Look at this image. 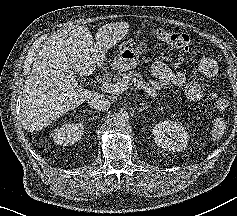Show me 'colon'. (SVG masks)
Wrapping results in <instances>:
<instances>
[{
  "label": "colon",
  "instance_id": "1",
  "mask_svg": "<svg viewBox=\"0 0 237 216\" xmlns=\"http://www.w3.org/2000/svg\"><path fill=\"white\" fill-rule=\"evenodd\" d=\"M153 35L171 47L188 50L190 46V38L187 34L182 32H167L162 29L153 31ZM216 107L220 110H225L229 106V99L226 94H221L215 97Z\"/></svg>",
  "mask_w": 237,
  "mask_h": 216
}]
</instances>
